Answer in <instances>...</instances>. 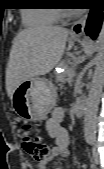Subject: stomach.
Masks as SVG:
<instances>
[{"label": "stomach", "instance_id": "obj_1", "mask_svg": "<svg viewBox=\"0 0 104 169\" xmlns=\"http://www.w3.org/2000/svg\"><path fill=\"white\" fill-rule=\"evenodd\" d=\"M56 88L44 78L32 77L14 91L11 103L15 113L27 121H39L56 105Z\"/></svg>", "mask_w": 104, "mask_h": 169}]
</instances>
